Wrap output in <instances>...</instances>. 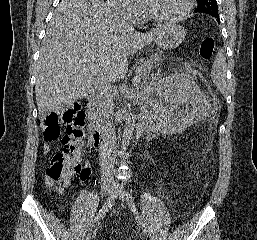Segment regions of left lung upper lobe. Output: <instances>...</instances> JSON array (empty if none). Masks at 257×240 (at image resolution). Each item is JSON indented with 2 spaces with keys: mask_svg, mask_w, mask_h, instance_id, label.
I'll list each match as a JSON object with an SVG mask.
<instances>
[{
  "mask_svg": "<svg viewBox=\"0 0 257 240\" xmlns=\"http://www.w3.org/2000/svg\"><path fill=\"white\" fill-rule=\"evenodd\" d=\"M197 2L198 6L195 10L196 13H206L215 18H219L216 0H197Z\"/></svg>",
  "mask_w": 257,
  "mask_h": 240,
  "instance_id": "left-lung-upper-lobe-1",
  "label": "left lung upper lobe"
}]
</instances>
